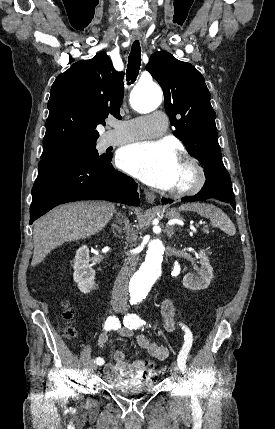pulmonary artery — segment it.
Here are the masks:
<instances>
[{
  "instance_id": "obj_1",
  "label": "pulmonary artery",
  "mask_w": 275,
  "mask_h": 429,
  "mask_svg": "<svg viewBox=\"0 0 275 429\" xmlns=\"http://www.w3.org/2000/svg\"><path fill=\"white\" fill-rule=\"evenodd\" d=\"M166 116L162 112H154L148 116L115 123V129L106 135L107 146L118 145L138 139L161 136L166 129Z\"/></svg>"
}]
</instances>
